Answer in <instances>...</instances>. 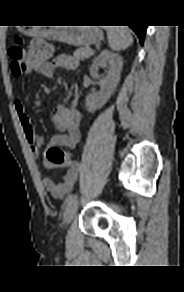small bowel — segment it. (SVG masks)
<instances>
[{"label": "small bowel", "instance_id": "obj_1", "mask_svg": "<svg viewBox=\"0 0 184 292\" xmlns=\"http://www.w3.org/2000/svg\"><path fill=\"white\" fill-rule=\"evenodd\" d=\"M78 66V61L70 55L59 54L51 61H45L32 66L31 71L41 74L45 77H52L56 68L73 70ZM78 100V89L74 87L73 96L69 106L59 105L52 112V122L60 132L52 139V146H61L73 149L79 143L80 132V113L75 109ZM19 122L22 126L26 141L30 151L34 156L39 153V147L42 143L41 138L36 134L33 124L25 111V105L22 100L14 102ZM44 165L48 168H65L66 173L59 183H55L49 177L42 181L45 189L55 198H62L74 187L78 175L79 164L72 162L66 165H54L47 157L44 158Z\"/></svg>", "mask_w": 184, "mask_h": 292}]
</instances>
